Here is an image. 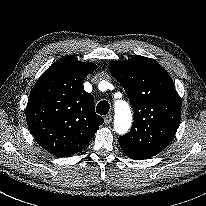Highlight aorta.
<instances>
[{
    "mask_svg": "<svg viewBox=\"0 0 206 206\" xmlns=\"http://www.w3.org/2000/svg\"><path fill=\"white\" fill-rule=\"evenodd\" d=\"M132 123V115L129 105L125 101L115 103L114 128L118 134L126 133Z\"/></svg>",
    "mask_w": 206,
    "mask_h": 206,
    "instance_id": "762f6f07",
    "label": "aorta"
}]
</instances>
